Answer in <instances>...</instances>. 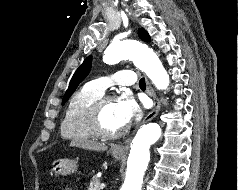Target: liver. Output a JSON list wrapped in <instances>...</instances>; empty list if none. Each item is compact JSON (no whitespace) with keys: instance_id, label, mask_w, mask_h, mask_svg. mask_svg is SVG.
Instances as JSON below:
<instances>
[{"instance_id":"obj_1","label":"liver","mask_w":238,"mask_h":190,"mask_svg":"<svg viewBox=\"0 0 238 190\" xmlns=\"http://www.w3.org/2000/svg\"><path fill=\"white\" fill-rule=\"evenodd\" d=\"M70 147H79L93 151H106L108 147L104 143L88 140H73L70 143Z\"/></svg>"}]
</instances>
